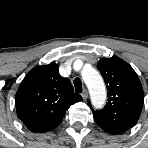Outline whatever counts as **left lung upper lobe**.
<instances>
[{
	"mask_svg": "<svg viewBox=\"0 0 148 148\" xmlns=\"http://www.w3.org/2000/svg\"><path fill=\"white\" fill-rule=\"evenodd\" d=\"M97 67L108 90V102L101 110H92L103 129L123 133L133 127L141 114L144 92L133 68L117 56L101 59ZM88 105L91 107L90 102Z\"/></svg>",
	"mask_w": 148,
	"mask_h": 148,
	"instance_id": "5c2ea615",
	"label": "left lung upper lobe"
}]
</instances>
